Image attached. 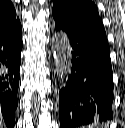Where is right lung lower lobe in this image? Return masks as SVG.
Listing matches in <instances>:
<instances>
[{
  "instance_id": "right-lung-lower-lobe-1",
  "label": "right lung lower lobe",
  "mask_w": 125,
  "mask_h": 128,
  "mask_svg": "<svg viewBox=\"0 0 125 128\" xmlns=\"http://www.w3.org/2000/svg\"><path fill=\"white\" fill-rule=\"evenodd\" d=\"M22 27L0 32V108L8 128H14L17 92L20 79Z\"/></svg>"
}]
</instances>
